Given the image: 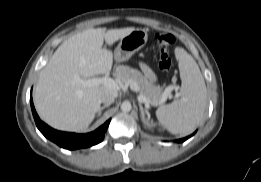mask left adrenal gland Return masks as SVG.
I'll use <instances>...</instances> for the list:
<instances>
[{
	"instance_id": "a2214340",
	"label": "left adrenal gland",
	"mask_w": 261,
	"mask_h": 182,
	"mask_svg": "<svg viewBox=\"0 0 261 182\" xmlns=\"http://www.w3.org/2000/svg\"><path fill=\"white\" fill-rule=\"evenodd\" d=\"M140 112H141V118L144 124H148V121L150 120V114L147 110H145L141 104H139ZM145 115H147V118H145Z\"/></svg>"
}]
</instances>
